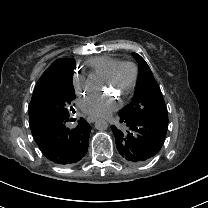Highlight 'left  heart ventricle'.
<instances>
[{
  "instance_id": "left-heart-ventricle-1",
  "label": "left heart ventricle",
  "mask_w": 208,
  "mask_h": 208,
  "mask_svg": "<svg viewBox=\"0 0 208 208\" xmlns=\"http://www.w3.org/2000/svg\"><path fill=\"white\" fill-rule=\"evenodd\" d=\"M131 75H132V72L130 70V68H122L117 76V79L114 83L115 86L118 87V89L124 93L125 91V87L126 85L129 83L130 79H131ZM104 84V81L103 79L99 82V84L97 85V87L92 91V95L93 97H97L96 95V91L98 90V87L103 85Z\"/></svg>"
}]
</instances>
